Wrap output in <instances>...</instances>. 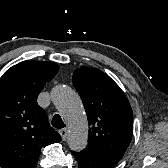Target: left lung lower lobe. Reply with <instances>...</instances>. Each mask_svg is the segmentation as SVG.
<instances>
[{"label": "left lung lower lobe", "instance_id": "0a47b994", "mask_svg": "<svg viewBox=\"0 0 168 168\" xmlns=\"http://www.w3.org/2000/svg\"><path fill=\"white\" fill-rule=\"evenodd\" d=\"M79 163L78 168H113L116 163L98 156L87 149L81 152H72Z\"/></svg>", "mask_w": 168, "mask_h": 168}]
</instances>
